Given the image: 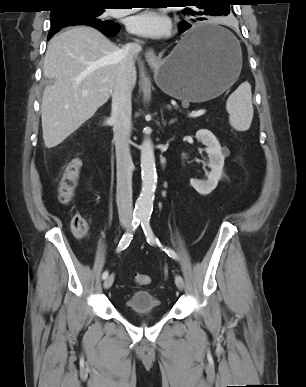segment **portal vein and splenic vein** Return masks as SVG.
<instances>
[{"instance_id": "18ae733b", "label": "portal vein and splenic vein", "mask_w": 306, "mask_h": 387, "mask_svg": "<svg viewBox=\"0 0 306 387\" xmlns=\"http://www.w3.org/2000/svg\"><path fill=\"white\" fill-rule=\"evenodd\" d=\"M86 94H87V91L84 90V91L82 92V95H86ZM205 112H206L205 109H201V110H198V111H196V112H193L190 116H191L192 118H196V117H199V116L205 114Z\"/></svg>"}]
</instances>
